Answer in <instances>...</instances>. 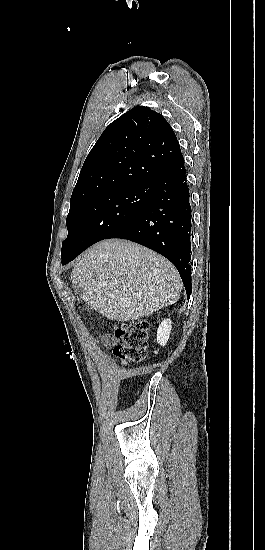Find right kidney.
<instances>
[{"label":"right kidney","instance_id":"right-kidney-1","mask_svg":"<svg viewBox=\"0 0 265 550\" xmlns=\"http://www.w3.org/2000/svg\"><path fill=\"white\" fill-rule=\"evenodd\" d=\"M172 328V322L170 319H164L157 330V342L165 346L170 337V332Z\"/></svg>","mask_w":265,"mask_h":550}]
</instances>
